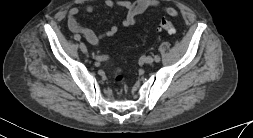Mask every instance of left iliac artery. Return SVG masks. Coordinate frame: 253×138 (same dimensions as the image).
<instances>
[{
  "label": "left iliac artery",
  "instance_id": "left-iliac-artery-1",
  "mask_svg": "<svg viewBox=\"0 0 253 138\" xmlns=\"http://www.w3.org/2000/svg\"><path fill=\"white\" fill-rule=\"evenodd\" d=\"M154 60H155L156 62H159V61H160V56H159V55H155V56H154Z\"/></svg>",
  "mask_w": 253,
  "mask_h": 138
}]
</instances>
